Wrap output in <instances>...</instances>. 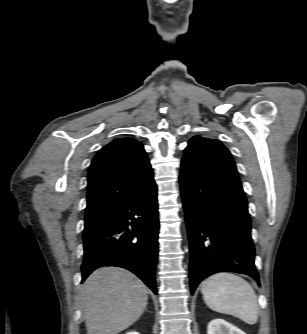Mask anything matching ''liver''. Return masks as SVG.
Segmentation results:
<instances>
[{"label": "liver", "instance_id": "obj_1", "mask_svg": "<svg viewBox=\"0 0 307 334\" xmlns=\"http://www.w3.org/2000/svg\"><path fill=\"white\" fill-rule=\"evenodd\" d=\"M79 298L88 334H118L140 318L148 291L133 273L102 267L81 286Z\"/></svg>", "mask_w": 307, "mask_h": 334}]
</instances>
